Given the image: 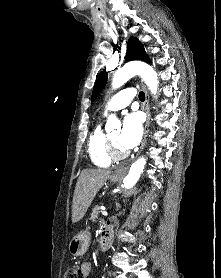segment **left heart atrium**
Here are the masks:
<instances>
[{
	"mask_svg": "<svg viewBox=\"0 0 221 278\" xmlns=\"http://www.w3.org/2000/svg\"><path fill=\"white\" fill-rule=\"evenodd\" d=\"M142 132L143 129L140 116L137 113H130L124 119L118 142L124 149L134 148L139 143Z\"/></svg>",
	"mask_w": 221,
	"mask_h": 278,
	"instance_id": "1",
	"label": "left heart atrium"
}]
</instances>
